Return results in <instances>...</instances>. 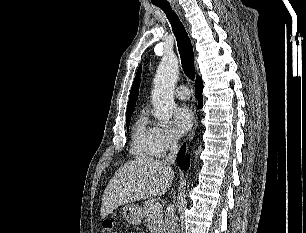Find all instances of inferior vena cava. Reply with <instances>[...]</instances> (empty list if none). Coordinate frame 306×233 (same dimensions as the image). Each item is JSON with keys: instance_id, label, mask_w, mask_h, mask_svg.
Instances as JSON below:
<instances>
[{"instance_id": "obj_1", "label": "inferior vena cava", "mask_w": 306, "mask_h": 233, "mask_svg": "<svg viewBox=\"0 0 306 233\" xmlns=\"http://www.w3.org/2000/svg\"><path fill=\"white\" fill-rule=\"evenodd\" d=\"M169 151L170 152L166 157L165 162L167 164H174L176 159V154L178 152V138L176 136H173L170 140ZM173 207H174L173 205L169 206V210L165 218V226H166L165 233H178V227L174 216Z\"/></svg>"}]
</instances>
